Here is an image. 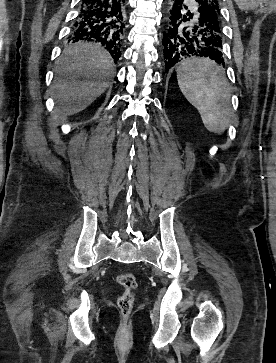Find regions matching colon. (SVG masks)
Wrapping results in <instances>:
<instances>
[{
  "label": "colon",
  "mask_w": 276,
  "mask_h": 363,
  "mask_svg": "<svg viewBox=\"0 0 276 363\" xmlns=\"http://www.w3.org/2000/svg\"><path fill=\"white\" fill-rule=\"evenodd\" d=\"M116 280L122 287V293L117 299V307L121 316L127 318L133 309L137 281L135 276L128 272L118 274Z\"/></svg>",
  "instance_id": "colon-1"
}]
</instances>
